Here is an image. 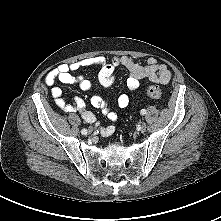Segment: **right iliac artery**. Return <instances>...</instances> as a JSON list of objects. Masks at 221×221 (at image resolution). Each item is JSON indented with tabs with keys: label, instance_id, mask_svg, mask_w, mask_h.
<instances>
[{
	"label": "right iliac artery",
	"instance_id": "82829eb1",
	"mask_svg": "<svg viewBox=\"0 0 221 221\" xmlns=\"http://www.w3.org/2000/svg\"><path fill=\"white\" fill-rule=\"evenodd\" d=\"M81 133H82L83 135H86V134H87V130H86V129H82V130H81Z\"/></svg>",
	"mask_w": 221,
	"mask_h": 221
}]
</instances>
